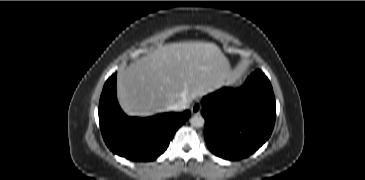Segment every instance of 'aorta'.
I'll use <instances>...</instances> for the list:
<instances>
[{
    "label": "aorta",
    "instance_id": "obj_1",
    "mask_svg": "<svg viewBox=\"0 0 365 180\" xmlns=\"http://www.w3.org/2000/svg\"><path fill=\"white\" fill-rule=\"evenodd\" d=\"M204 123H205V120L201 115H194L190 119V124L196 128L203 127Z\"/></svg>",
    "mask_w": 365,
    "mask_h": 180
}]
</instances>
